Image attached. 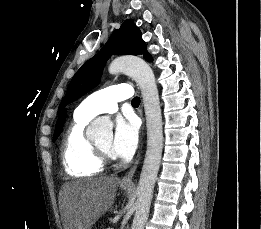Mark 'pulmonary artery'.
Instances as JSON below:
<instances>
[{"label": "pulmonary artery", "instance_id": "obj_1", "mask_svg": "<svg viewBox=\"0 0 261 229\" xmlns=\"http://www.w3.org/2000/svg\"><path fill=\"white\" fill-rule=\"evenodd\" d=\"M132 85H115L88 95L79 105L85 113L81 116L94 118L102 113H115L117 102L132 96Z\"/></svg>", "mask_w": 261, "mask_h": 229}]
</instances>
